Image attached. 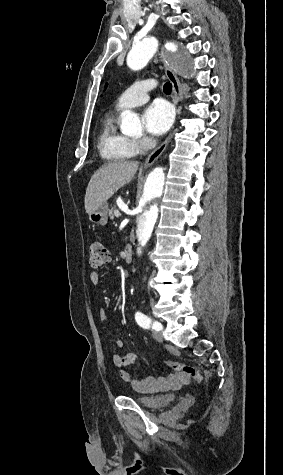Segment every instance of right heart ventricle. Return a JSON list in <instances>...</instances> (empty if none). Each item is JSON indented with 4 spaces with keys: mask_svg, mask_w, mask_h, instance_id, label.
Wrapping results in <instances>:
<instances>
[{
    "mask_svg": "<svg viewBox=\"0 0 283 475\" xmlns=\"http://www.w3.org/2000/svg\"><path fill=\"white\" fill-rule=\"evenodd\" d=\"M120 109H115L107 114L100 122L98 134V147L107 161L127 160L133 154L126 137L118 128L116 116Z\"/></svg>",
    "mask_w": 283,
    "mask_h": 475,
    "instance_id": "1",
    "label": "right heart ventricle"
}]
</instances>
